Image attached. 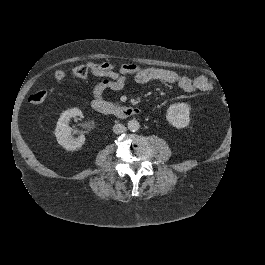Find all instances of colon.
<instances>
[{
  "label": "colon",
  "instance_id": "1",
  "mask_svg": "<svg viewBox=\"0 0 265 265\" xmlns=\"http://www.w3.org/2000/svg\"><path fill=\"white\" fill-rule=\"evenodd\" d=\"M89 68L87 65H79L73 69V73L77 77H85L88 74ZM57 80H63L66 77V73L64 70H56L54 74ZM47 97L46 90H38L32 93L28 100L30 103L39 104L42 103Z\"/></svg>",
  "mask_w": 265,
  "mask_h": 265
}]
</instances>
